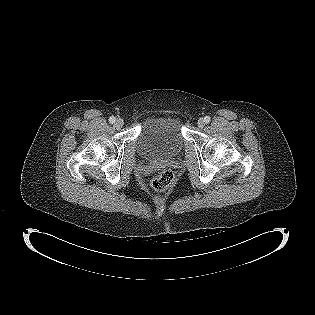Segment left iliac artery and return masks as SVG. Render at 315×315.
<instances>
[{"instance_id": "1", "label": "left iliac artery", "mask_w": 315, "mask_h": 315, "mask_svg": "<svg viewBox=\"0 0 315 315\" xmlns=\"http://www.w3.org/2000/svg\"><path fill=\"white\" fill-rule=\"evenodd\" d=\"M204 121H205V123H209L210 122V117L209 116H205L204 117Z\"/></svg>"}]
</instances>
